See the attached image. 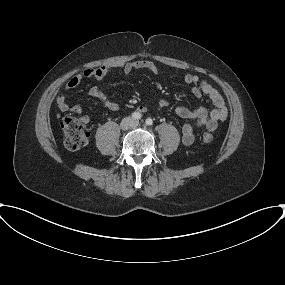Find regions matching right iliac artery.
<instances>
[{"mask_svg":"<svg viewBox=\"0 0 285 285\" xmlns=\"http://www.w3.org/2000/svg\"><path fill=\"white\" fill-rule=\"evenodd\" d=\"M141 117H142V115L139 112L132 113V118H134V119L139 120V119H141Z\"/></svg>","mask_w":285,"mask_h":285,"instance_id":"82829eb1","label":"right iliac artery"}]
</instances>
